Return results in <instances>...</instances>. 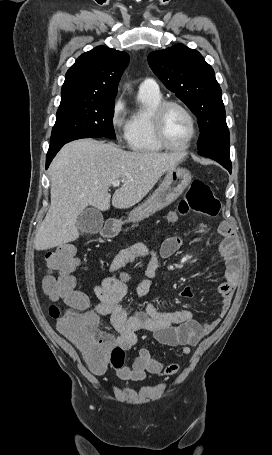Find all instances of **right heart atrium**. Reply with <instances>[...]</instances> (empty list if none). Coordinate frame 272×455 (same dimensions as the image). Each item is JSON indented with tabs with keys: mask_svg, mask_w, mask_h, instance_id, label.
Masks as SVG:
<instances>
[{
	"mask_svg": "<svg viewBox=\"0 0 272 455\" xmlns=\"http://www.w3.org/2000/svg\"><path fill=\"white\" fill-rule=\"evenodd\" d=\"M125 104L122 99H117L112 107L110 122L118 140H126L128 121L124 118Z\"/></svg>",
	"mask_w": 272,
	"mask_h": 455,
	"instance_id": "1",
	"label": "right heart atrium"
}]
</instances>
